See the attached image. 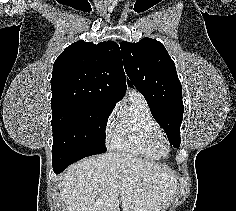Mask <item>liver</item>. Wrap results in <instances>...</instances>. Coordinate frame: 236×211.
Masks as SVG:
<instances>
[{"label":"liver","mask_w":236,"mask_h":211,"mask_svg":"<svg viewBox=\"0 0 236 211\" xmlns=\"http://www.w3.org/2000/svg\"><path fill=\"white\" fill-rule=\"evenodd\" d=\"M177 188L166 166L109 152L69 166L58 189L67 211H163Z\"/></svg>","instance_id":"obj_1"}]
</instances>
